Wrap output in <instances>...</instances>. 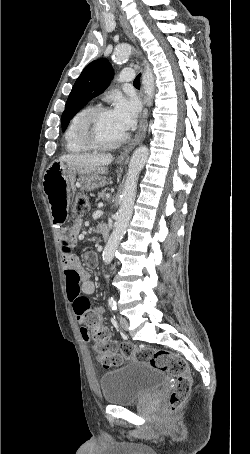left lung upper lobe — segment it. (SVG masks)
Wrapping results in <instances>:
<instances>
[{
	"label": "left lung upper lobe",
	"mask_w": 250,
	"mask_h": 454,
	"mask_svg": "<svg viewBox=\"0 0 250 454\" xmlns=\"http://www.w3.org/2000/svg\"><path fill=\"white\" fill-rule=\"evenodd\" d=\"M114 70L106 58L88 64L76 80L67 99L61 123L64 131L73 116L92 98L103 92L109 85Z\"/></svg>",
	"instance_id": "5c2ea615"
}]
</instances>
